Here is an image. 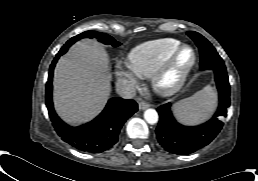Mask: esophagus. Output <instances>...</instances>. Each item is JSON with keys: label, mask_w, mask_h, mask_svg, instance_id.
<instances>
[{"label": "esophagus", "mask_w": 258, "mask_h": 181, "mask_svg": "<svg viewBox=\"0 0 258 181\" xmlns=\"http://www.w3.org/2000/svg\"><path fill=\"white\" fill-rule=\"evenodd\" d=\"M149 106H150L149 103H147V102H145V101H141V102L139 103V109H140V110H145V109H147Z\"/></svg>", "instance_id": "1"}]
</instances>
